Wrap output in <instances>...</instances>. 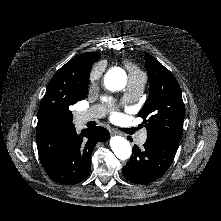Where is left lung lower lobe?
I'll return each mask as SVG.
<instances>
[{"label":"left lung lower lobe","instance_id":"1","mask_svg":"<svg viewBox=\"0 0 221 221\" xmlns=\"http://www.w3.org/2000/svg\"><path fill=\"white\" fill-rule=\"evenodd\" d=\"M144 148L133 147L132 156L123 167L124 177L134 183L147 184L161 177L174 160L179 142L175 140H146Z\"/></svg>","mask_w":221,"mask_h":221}]
</instances>
